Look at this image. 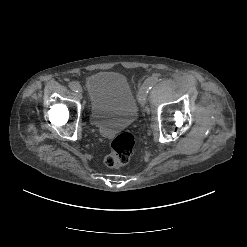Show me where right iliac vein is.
<instances>
[{
	"label": "right iliac vein",
	"mask_w": 247,
	"mask_h": 247,
	"mask_svg": "<svg viewBox=\"0 0 247 247\" xmlns=\"http://www.w3.org/2000/svg\"><path fill=\"white\" fill-rule=\"evenodd\" d=\"M76 95H77V97H78L79 99H82V98H83V93H82L81 90H79V91L76 93Z\"/></svg>",
	"instance_id": "right-iliac-vein-1"
}]
</instances>
